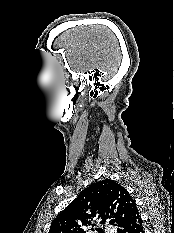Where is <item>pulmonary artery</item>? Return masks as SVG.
Instances as JSON below:
<instances>
[{"instance_id": "1", "label": "pulmonary artery", "mask_w": 174, "mask_h": 233, "mask_svg": "<svg viewBox=\"0 0 174 233\" xmlns=\"http://www.w3.org/2000/svg\"><path fill=\"white\" fill-rule=\"evenodd\" d=\"M106 233H114V230L110 227L106 228Z\"/></svg>"}]
</instances>
